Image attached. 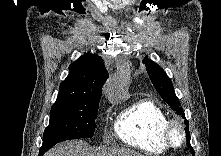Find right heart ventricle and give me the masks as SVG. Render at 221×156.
<instances>
[{
    "instance_id": "right-heart-ventricle-1",
    "label": "right heart ventricle",
    "mask_w": 221,
    "mask_h": 156,
    "mask_svg": "<svg viewBox=\"0 0 221 156\" xmlns=\"http://www.w3.org/2000/svg\"><path fill=\"white\" fill-rule=\"evenodd\" d=\"M169 120L157 103L142 99L118 115L114 131L123 143L135 149L149 154H161L169 148L164 140V130Z\"/></svg>"
}]
</instances>
